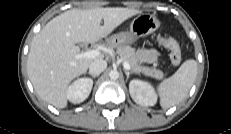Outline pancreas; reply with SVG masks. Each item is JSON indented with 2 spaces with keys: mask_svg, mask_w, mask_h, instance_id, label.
<instances>
[{
  "mask_svg": "<svg viewBox=\"0 0 231 134\" xmlns=\"http://www.w3.org/2000/svg\"><path fill=\"white\" fill-rule=\"evenodd\" d=\"M116 53L130 64L131 70L134 73H143L146 76L156 79H162L164 77V73L159 69L141 66L137 61L134 48L127 45L116 47Z\"/></svg>",
  "mask_w": 231,
  "mask_h": 134,
  "instance_id": "1",
  "label": "pancreas"
}]
</instances>
